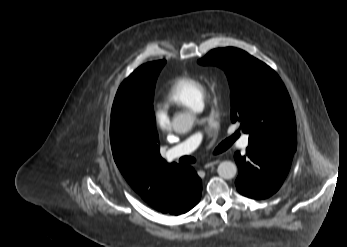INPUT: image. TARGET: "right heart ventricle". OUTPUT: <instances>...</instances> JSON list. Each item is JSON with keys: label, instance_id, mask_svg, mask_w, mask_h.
Wrapping results in <instances>:
<instances>
[{"label": "right heart ventricle", "instance_id": "right-heart-ventricle-1", "mask_svg": "<svg viewBox=\"0 0 347 247\" xmlns=\"http://www.w3.org/2000/svg\"><path fill=\"white\" fill-rule=\"evenodd\" d=\"M205 94V85L199 78L180 75L169 83L164 95V102L167 105L197 110L203 104Z\"/></svg>", "mask_w": 347, "mask_h": 247}]
</instances>
